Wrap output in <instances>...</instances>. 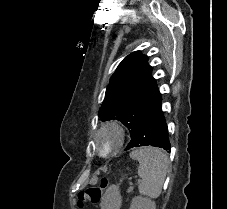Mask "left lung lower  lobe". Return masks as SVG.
<instances>
[{"label": "left lung lower lobe", "mask_w": 227, "mask_h": 209, "mask_svg": "<svg viewBox=\"0 0 227 209\" xmlns=\"http://www.w3.org/2000/svg\"><path fill=\"white\" fill-rule=\"evenodd\" d=\"M161 96L141 118L134 138L125 150L140 146H155L170 150L167 125L161 109Z\"/></svg>", "instance_id": "obj_1"}]
</instances>
